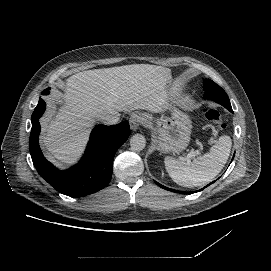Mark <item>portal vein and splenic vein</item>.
Masks as SVG:
<instances>
[{
    "label": "portal vein and splenic vein",
    "instance_id": "obj_1",
    "mask_svg": "<svg viewBox=\"0 0 271 271\" xmlns=\"http://www.w3.org/2000/svg\"><path fill=\"white\" fill-rule=\"evenodd\" d=\"M188 155H189L190 157H195V156H196V153H195L194 151H192V152H190Z\"/></svg>",
    "mask_w": 271,
    "mask_h": 271
}]
</instances>
